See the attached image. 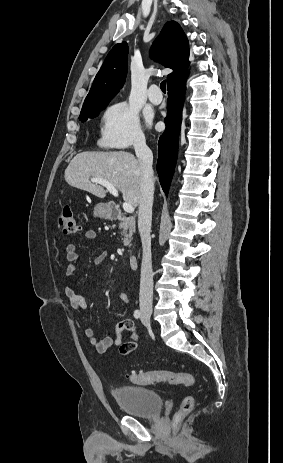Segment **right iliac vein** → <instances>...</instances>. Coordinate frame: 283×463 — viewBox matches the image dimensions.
Returning <instances> with one entry per match:
<instances>
[{
    "mask_svg": "<svg viewBox=\"0 0 283 463\" xmlns=\"http://www.w3.org/2000/svg\"><path fill=\"white\" fill-rule=\"evenodd\" d=\"M143 315H144L146 318H150L151 313L148 312V311H144V312H143Z\"/></svg>",
    "mask_w": 283,
    "mask_h": 463,
    "instance_id": "right-iliac-vein-1",
    "label": "right iliac vein"
}]
</instances>
